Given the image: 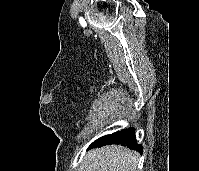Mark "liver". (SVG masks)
<instances>
[{"mask_svg": "<svg viewBox=\"0 0 199 171\" xmlns=\"http://www.w3.org/2000/svg\"><path fill=\"white\" fill-rule=\"evenodd\" d=\"M139 154L123 146L109 145L89 151L79 171H135Z\"/></svg>", "mask_w": 199, "mask_h": 171, "instance_id": "1", "label": "liver"}]
</instances>
